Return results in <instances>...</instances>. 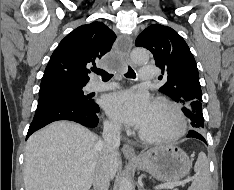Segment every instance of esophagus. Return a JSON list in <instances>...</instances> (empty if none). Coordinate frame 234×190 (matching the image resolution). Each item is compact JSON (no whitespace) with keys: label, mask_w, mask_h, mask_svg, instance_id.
I'll return each mask as SVG.
<instances>
[{"label":"esophagus","mask_w":234,"mask_h":190,"mask_svg":"<svg viewBox=\"0 0 234 190\" xmlns=\"http://www.w3.org/2000/svg\"><path fill=\"white\" fill-rule=\"evenodd\" d=\"M119 48L121 50L122 56L126 61H129V54L132 48V39L128 35H122L119 38ZM122 152L126 158L136 159V154L134 148L129 144H124L122 147Z\"/></svg>","instance_id":"obj_1"}]
</instances>
